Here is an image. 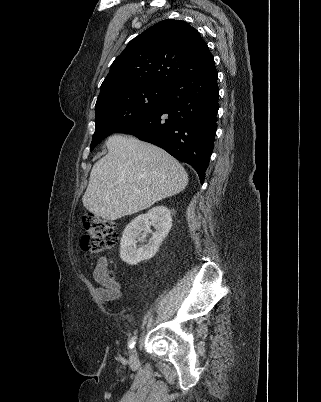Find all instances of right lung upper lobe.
Returning a JSON list of instances; mask_svg holds the SVG:
<instances>
[{"label":"right lung upper lobe","instance_id":"obj_1","mask_svg":"<svg viewBox=\"0 0 321 402\" xmlns=\"http://www.w3.org/2000/svg\"><path fill=\"white\" fill-rule=\"evenodd\" d=\"M214 63L199 32L185 21L164 20L134 38L114 60L97 102L148 86L167 87Z\"/></svg>","mask_w":321,"mask_h":402}]
</instances>
